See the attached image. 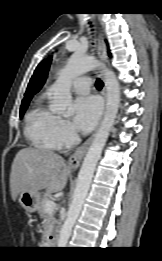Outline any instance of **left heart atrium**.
Instances as JSON below:
<instances>
[{
  "label": "left heart atrium",
  "mask_w": 162,
  "mask_h": 261,
  "mask_svg": "<svg viewBox=\"0 0 162 261\" xmlns=\"http://www.w3.org/2000/svg\"><path fill=\"white\" fill-rule=\"evenodd\" d=\"M75 128L82 132H89L95 125L100 114V102L94 96H82L73 103Z\"/></svg>",
  "instance_id": "1"
}]
</instances>
